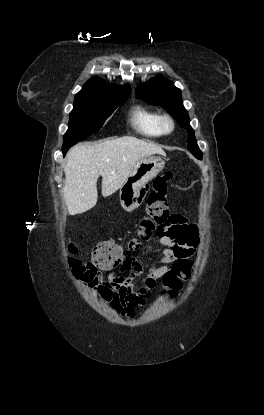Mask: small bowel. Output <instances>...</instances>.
<instances>
[{
	"label": "small bowel",
	"instance_id": "small-bowel-1",
	"mask_svg": "<svg viewBox=\"0 0 264 415\" xmlns=\"http://www.w3.org/2000/svg\"><path fill=\"white\" fill-rule=\"evenodd\" d=\"M172 219V233L160 239L161 250L158 252V260L161 265L153 264L141 284L136 283L134 279L116 274H110L104 279L99 273L90 274L85 271L75 273V277L109 302L119 314L128 318L134 317L151 298L157 281L170 272L175 262L186 261L192 255L198 241L199 233L195 224L188 222L181 215H173ZM150 250L156 251L153 247ZM120 269L122 272L131 270L138 273L142 270V265L134 257H127L121 263ZM185 278L184 275L183 279ZM122 288L127 290V295L125 299L117 302L115 297Z\"/></svg>",
	"mask_w": 264,
	"mask_h": 415
}]
</instances>
